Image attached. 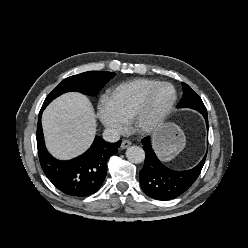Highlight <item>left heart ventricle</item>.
Wrapping results in <instances>:
<instances>
[{
    "instance_id": "obj_1",
    "label": "left heart ventricle",
    "mask_w": 248,
    "mask_h": 248,
    "mask_svg": "<svg viewBox=\"0 0 248 248\" xmlns=\"http://www.w3.org/2000/svg\"><path fill=\"white\" fill-rule=\"evenodd\" d=\"M172 96L173 91L170 87L160 88L153 99L150 117L163 110L171 101Z\"/></svg>"
}]
</instances>
